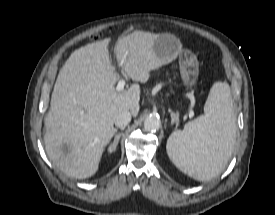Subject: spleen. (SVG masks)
<instances>
[{"instance_id":"obj_1","label":"spleen","mask_w":275,"mask_h":215,"mask_svg":"<svg viewBox=\"0 0 275 215\" xmlns=\"http://www.w3.org/2000/svg\"><path fill=\"white\" fill-rule=\"evenodd\" d=\"M236 141V119L230 87L213 84L204 106V115L171 134L166 149L169 158L183 173L198 181L218 175L230 159Z\"/></svg>"}]
</instances>
